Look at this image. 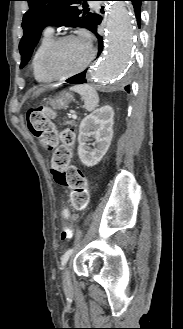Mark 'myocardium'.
<instances>
[{"label": "myocardium", "instance_id": "myocardium-1", "mask_svg": "<svg viewBox=\"0 0 183 329\" xmlns=\"http://www.w3.org/2000/svg\"><path fill=\"white\" fill-rule=\"evenodd\" d=\"M78 38L76 35L73 34H66V35H62L59 36L57 38H55L52 43L48 46L47 50L45 51L44 57H43V69L44 72L46 73V75L48 76V78L50 80L53 81H57V80H64V79H68L70 77H73L77 74H80L81 72H83L92 62V60L95 57V50L93 49V47L91 45L89 46V56L86 60V62L78 69L69 72V73H65V74H54L51 70L50 67V62H51V58L54 54V52L56 51V49L65 41L70 40V39H75Z\"/></svg>", "mask_w": 183, "mask_h": 329}]
</instances>
